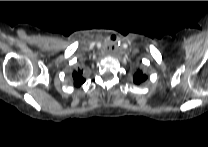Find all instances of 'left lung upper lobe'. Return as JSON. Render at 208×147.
Masks as SVG:
<instances>
[{
	"mask_svg": "<svg viewBox=\"0 0 208 147\" xmlns=\"http://www.w3.org/2000/svg\"><path fill=\"white\" fill-rule=\"evenodd\" d=\"M147 79V76L142 71H137L134 75V83L140 84Z\"/></svg>",
	"mask_w": 208,
	"mask_h": 147,
	"instance_id": "5c2ea615",
	"label": "left lung upper lobe"
}]
</instances>
